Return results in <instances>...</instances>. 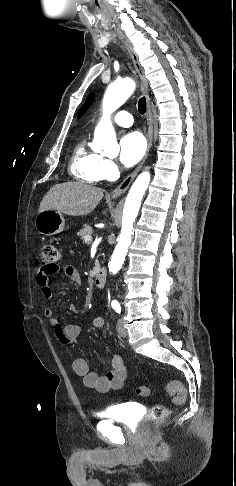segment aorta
I'll list each match as a JSON object with an SVG mask.
<instances>
[{
    "label": "aorta",
    "instance_id": "762f6f07",
    "mask_svg": "<svg viewBox=\"0 0 236 486\" xmlns=\"http://www.w3.org/2000/svg\"><path fill=\"white\" fill-rule=\"evenodd\" d=\"M134 90L135 83L131 79L114 82L107 87L102 103L104 115L94 132L92 149L95 152H103L108 155L119 150L116 134L110 121V114L118 109L132 95ZM149 182L150 173L148 171L142 172L128 193L123 209L121 232L109 263V271L113 274L120 270L125 260L128 247L131 244L133 223L139 212L141 201Z\"/></svg>",
    "mask_w": 236,
    "mask_h": 486
}]
</instances>
